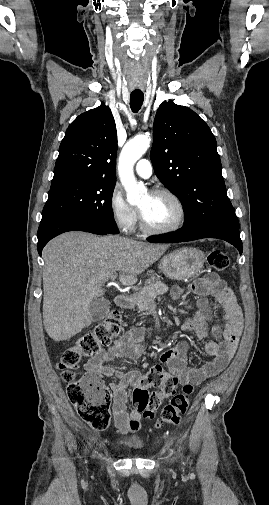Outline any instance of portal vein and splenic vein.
Here are the masks:
<instances>
[{"label":"portal vein and splenic vein","mask_w":269,"mask_h":505,"mask_svg":"<svg viewBox=\"0 0 269 505\" xmlns=\"http://www.w3.org/2000/svg\"><path fill=\"white\" fill-rule=\"evenodd\" d=\"M115 279H116V277H112V278H111V280H112V281H114ZM112 284H114V283H112Z\"/></svg>","instance_id":"portal-vein-and-splenic-vein-1"}]
</instances>
